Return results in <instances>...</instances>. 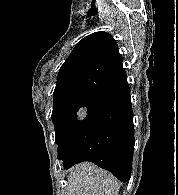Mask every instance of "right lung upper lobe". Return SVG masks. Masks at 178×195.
I'll use <instances>...</instances> for the list:
<instances>
[{
    "label": "right lung upper lobe",
    "instance_id": "right-lung-upper-lobe-1",
    "mask_svg": "<svg viewBox=\"0 0 178 195\" xmlns=\"http://www.w3.org/2000/svg\"><path fill=\"white\" fill-rule=\"evenodd\" d=\"M126 80L116 41L106 32H95L83 38L61 66L53 97L98 95Z\"/></svg>",
    "mask_w": 178,
    "mask_h": 195
}]
</instances>
